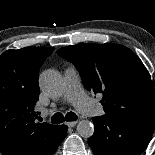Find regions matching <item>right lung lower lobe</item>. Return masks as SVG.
Here are the masks:
<instances>
[{"instance_id": "1", "label": "right lung lower lobe", "mask_w": 155, "mask_h": 155, "mask_svg": "<svg viewBox=\"0 0 155 155\" xmlns=\"http://www.w3.org/2000/svg\"><path fill=\"white\" fill-rule=\"evenodd\" d=\"M62 127H63V139L65 138V136H66V134H67V126H65V125H61ZM63 139H62V141H63ZM61 141V142H62ZM60 145V144H59ZM56 151V150H55Z\"/></svg>"}]
</instances>
